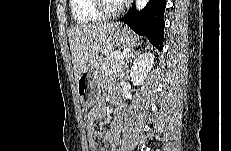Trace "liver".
<instances>
[{
	"mask_svg": "<svg viewBox=\"0 0 231 151\" xmlns=\"http://www.w3.org/2000/svg\"><path fill=\"white\" fill-rule=\"evenodd\" d=\"M117 23H97L72 26L69 29L71 58L77 83L93 58L110 52Z\"/></svg>",
	"mask_w": 231,
	"mask_h": 151,
	"instance_id": "liver-1",
	"label": "liver"
}]
</instances>
